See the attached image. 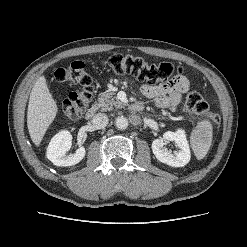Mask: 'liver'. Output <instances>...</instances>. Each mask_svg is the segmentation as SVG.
<instances>
[{
  "label": "liver",
  "instance_id": "6515ba94",
  "mask_svg": "<svg viewBox=\"0 0 247 247\" xmlns=\"http://www.w3.org/2000/svg\"><path fill=\"white\" fill-rule=\"evenodd\" d=\"M58 113L45 76H40L34 84L28 104L27 126L33 143L38 147Z\"/></svg>",
  "mask_w": 247,
  "mask_h": 247
}]
</instances>
